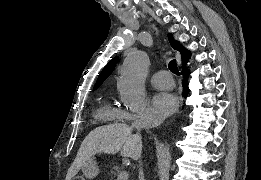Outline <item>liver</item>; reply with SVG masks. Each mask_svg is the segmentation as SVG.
I'll return each mask as SVG.
<instances>
[{"label": "liver", "instance_id": "obj_1", "mask_svg": "<svg viewBox=\"0 0 261 180\" xmlns=\"http://www.w3.org/2000/svg\"><path fill=\"white\" fill-rule=\"evenodd\" d=\"M120 152L122 158H136L142 152V140L139 134H132V128L126 124H108L99 126L84 138L77 156L69 168L67 180H72L80 168L87 164L95 154H111Z\"/></svg>", "mask_w": 261, "mask_h": 180}]
</instances>
